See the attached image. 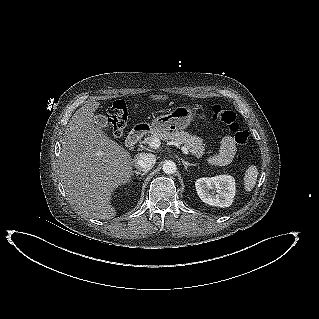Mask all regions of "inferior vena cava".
<instances>
[{"instance_id": "1", "label": "inferior vena cava", "mask_w": 319, "mask_h": 319, "mask_svg": "<svg viewBox=\"0 0 319 319\" xmlns=\"http://www.w3.org/2000/svg\"><path fill=\"white\" fill-rule=\"evenodd\" d=\"M156 158L151 153H140L135 156L134 165L139 171L148 172L155 164Z\"/></svg>"}]
</instances>
